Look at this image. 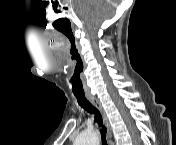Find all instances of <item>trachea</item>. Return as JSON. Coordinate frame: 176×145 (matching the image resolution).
Wrapping results in <instances>:
<instances>
[{"label": "trachea", "instance_id": "1", "mask_svg": "<svg viewBox=\"0 0 176 145\" xmlns=\"http://www.w3.org/2000/svg\"><path fill=\"white\" fill-rule=\"evenodd\" d=\"M75 97L78 101V104L85 111L94 115L95 121L102 127V129L100 130L102 143L103 145H108L106 141V135H105L106 128L103 126L102 116L98 111V109L85 97V95H75Z\"/></svg>", "mask_w": 176, "mask_h": 145}]
</instances>
